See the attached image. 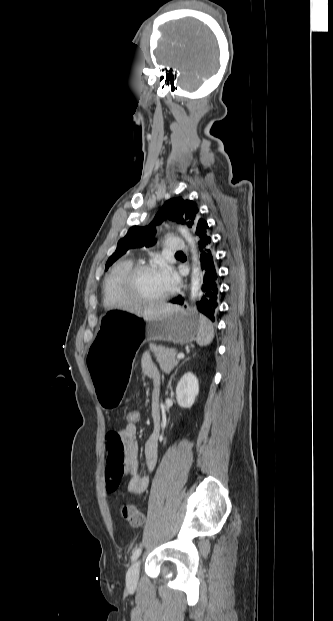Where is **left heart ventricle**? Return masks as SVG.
<instances>
[{"instance_id": "obj_1", "label": "left heart ventricle", "mask_w": 333, "mask_h": 621, "mask_svg": "<svg viewBox=\"0 0 333 621\" xmlns=\"http://www.w3.org/2000/svg\"><path fill=\"white\" fill-rule=\"evenodd\" d=\"M170 288L164 271H147L134 279L131 291L142 299H157L167 294Z\"/></svg>"}]
</instances>
